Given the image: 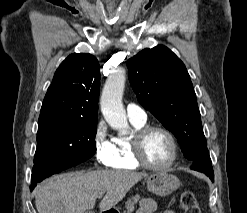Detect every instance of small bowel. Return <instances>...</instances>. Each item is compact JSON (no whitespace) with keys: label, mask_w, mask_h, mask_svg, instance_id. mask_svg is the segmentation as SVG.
Returning a JSON list of instances; mask_svg holds the SVG:
<instances>
[{"label":"small bowel","mask_w":247,"mask_h":213,"mask_svg":"<svg viewBox=\"0 0 247 213\" xmlns=\"http://www.w3.org/2000/svg\"><path fill=\"white\" fill-rule=\"evenodd\" d=\"M156 204L151 199H143L140 202V206L137 213H155ZM163 213H175L173 210H166Z\"/></svg>","instance_id":"small-bowel-1"}]
</instances>
